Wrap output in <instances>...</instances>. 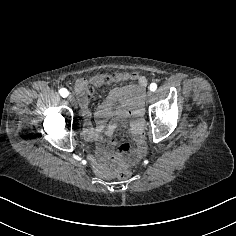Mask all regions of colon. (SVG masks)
I'll return each mask as SVG.
<instances>
[{
  "mask_svg": "<svg viewBox=\"0 0 236 236\" xmlns=\"http://www.w3.org/2000/svg\"><path fill=\"white\" fill-rule=\"evenodd\" d=\"M93 89L92 88H88L87 92L88 93H92ZM132 176V172L128 169H122L119 170L116 174V177L120 180H127Z\"/></svg>",
  "mask_w": 236,
  "mask_h": 236,
  "instance_id": "1",
  "label": "colon"
}]
</instances>
